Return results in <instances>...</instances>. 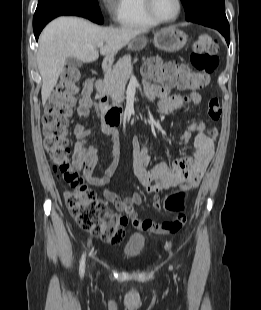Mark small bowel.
Here are the masks:
<instances>
[{
  "mask_svg": "<svg viewBox=\"0 0 261 310\" xmlns=\"http://www.w3.org/2000/svg\"><path fill=\"white\" fill-rule=\"evenodd\" d=\"M92 89V81L89 80L83 84L78 114L85 119H88L91 114L90 95ZM144 90L149 98L159 99V109L163 113L173 112L185 104L197 105L201 102V95L196 91L184 96L176 95L170 93L169 89L164 86L147 81L144 82ZM201 125H203L201 122L191 123L182 134V140L188 142L191 140L192 134L196 132L193 140L195 152L191 156L175 160L171 165L161 162L152 169H148L154 155L150 143L141 144L137 138L132 140L133 171L146 191L155 195L153 199L154 208H159V199L156 194L160 191L177 187L182 183H192L194 187L200 183L215 150L214 137L206 135L200 128ZM100 130L110 139L107 154L109 164L104 169L103 174L96 176L93 173L98 162L99 150L91 144L95 138V131L86 124H79L74 129L76 142L73 148V168L76 171H81L88 183L105 187L104 197L114 205V210H110L108 214L125 213L134 227L148 231L144 225L151 220H141L134 208L135 205L141 203V195L135 192L131 196L121 197L106 187L117 168L120 145L118 134L114 129L103 125Z\"/></svg>",
  "mask_w": 261,
  "mask_h": 310,
  "instance_id": "c3829d8e",
  "label": "small bowel"
}]
</instances>
